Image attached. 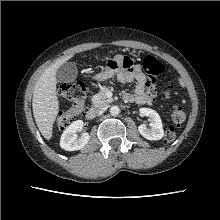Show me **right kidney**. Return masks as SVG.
<instances>
[{
    "label": "right kidney",
    "instance_id": "right-kidney-1",
    "mask_svg": "<svg viewBox=\"0 0 220 220\" xmlns=\"http://www.w3.org/2000/svg\"><path fill=\"white\" fill-rule=\"evenodd\" d=\"M83 126L84 122L82 120H77L66 128L60 139V146L62 149L66 151L79 150L89 142L90 136L88 133H83L79 138L76 134Z\"/></svg>",
    "mask_w": 220,
    "mask_h": 220
}]
</instances>
